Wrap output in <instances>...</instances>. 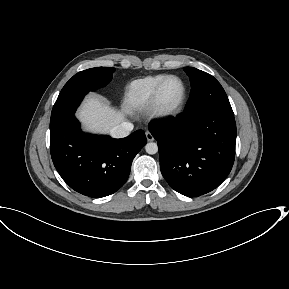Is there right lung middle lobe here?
<instances>
[{
    "label": "right lung middle lobe",
    "instance_id": "right-lung-middle-lobe-1",
    "mask_svg": "<svg viewBox=\"0 0 289 289\" xmlns=\"http://www.w3.org/2000/svg\"><path fill=\"white\" fill-rule=\"evenodd\" d=\"M113 67H97L78 72L61 90L51 113L50 130L72 117L85 94L107 84Z\"/></svg>",
    "mask_w": 289,
    "mask_h": 289
}]
</instances>
